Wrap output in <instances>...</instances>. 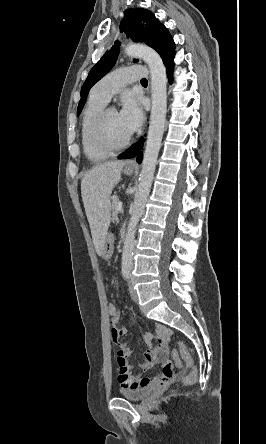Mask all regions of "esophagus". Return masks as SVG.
Masks as SVG:
<instances>
[{
    "label": "esophagus",
    "instance_id": "obj_1",
    "mask_svg": "<svg viewBox=\"0 0 266 444\" xmlns=\"http://www.w3.org/2000/svg\"><path fill=\"white\" fill-rule=\"evenodd\" d=\"M127 166H128V167H137L138 165H137V163H136V160H130V161L127 163Z\"/></svg>",
    "mask_w": 266,
    "mask_h": 444
}]
</instances>
